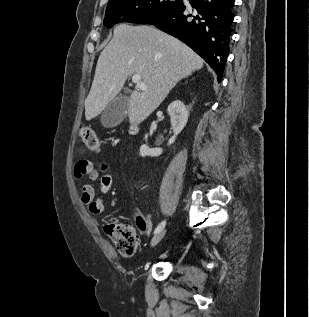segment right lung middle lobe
Segmentation results:
<instances>
[{
  "mask_svg": "<svg viewBox=\"0 0 309 317\" xmlns=\"http://www.w3.org/2000/svg\"><path fill=\"white\" fill-rule=\"evenodd\" d=\"M182 0H109L104 26L113 27L121 22L137 21L165 10L182 5Z\"/></svg>",
  "mask_w": 309,
  "mask_h": 317,
  "instance_id": "dd1d6c3e",
  "label": "right lung middle lobe"
}]
</instances>
